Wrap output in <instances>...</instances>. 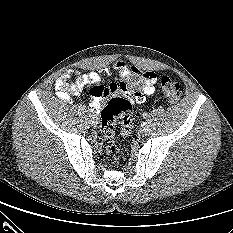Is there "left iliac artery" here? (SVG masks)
<instances>
[{
    "mask_svg": "<svg viewBox=\"0 0 233 233\" xmlns=\"http://www.w3.org/2000/svg\"><path fill=\"white\" fill-rule=\"evenodd\" d=\"M143 118L147 119L148 118V114L147 113L143 114Z\"/></svg>",
    "mask_w": 233,
    "mask_h": 233,
    "instance_id": "1",
    "label": "left iliac artery"
}]
</instances>
